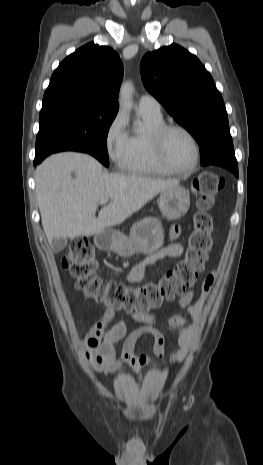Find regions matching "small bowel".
Returning a JSON list of instances; mask_svg holds the SVG:
<instances>
[{
    "instance_id": "1",
    "label": "small bowel",
    "mask_w": 263,
    "mask_h": 465,
    "mask_svg": "<svg viewBox=\"0 0 263 465\" xmlns=\"http://www.w3.org/2000/svg\"><path fill=\"white\" fill-rule=\"evenodd\" d=\"M180 234V227L178 225H173L169 233L170 243L135 265L128 273V280L133 283L140 282L148 266L165 258L180 257L183 253V246L177 241ZM213 282L214 275L212 273L207 274L201 283L202 295L195 303H192L194 298V290L192 289L180 296L174 304L181 309H187L189 315L196 322H199L203 317L205 302ZM114 314L115 310L113 308H107L96 322L91 332V335L96 337L105 333L104 341L92 347L94 349L95 369L97 372L113 375L117 374L123 366H127L136 374H139L144 369L150 367L153 364L152 359L146 355H137L135 353L138 340L145 335H150L153 338V352L156 358H162L165 339L163 334L156 327L159 320L158 312H128L129 316L139 324V326L132 331H129L126 320H121L116 326L107 330ZM175 317L176 316H173L170 319L171 325H174L173 320ZM193 333V328L184 329L181 332L178 338L180 348L173 356L174 362H181L186 357ZM121 339H124L122 355L120 359H117L114 344Z\"/></svg>"
}]
</instances>
